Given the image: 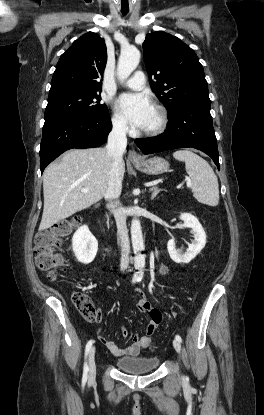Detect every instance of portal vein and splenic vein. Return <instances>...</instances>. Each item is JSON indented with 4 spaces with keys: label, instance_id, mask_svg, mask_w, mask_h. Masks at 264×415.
<instances>
[{
    "label": "portal vein and splenic vein",
    "instance_id": "obj_1",
    "mask_svg": "<svg viewBox=\"0 0 264 415\" xmlns=\"http://www.w3.org/2000/svg\"><path fill=\"white\" fill-rule=\"evenodd\" d=\"M186 181H187V186L188 187H190L191 186V180L190 179H186ZM83 193H86V192H88L89 191V189L88 188H84V189H82L81 190Z\"/></svg>",
    "mask_w": 264,
    "mask_h": 415
}]
</instances>
